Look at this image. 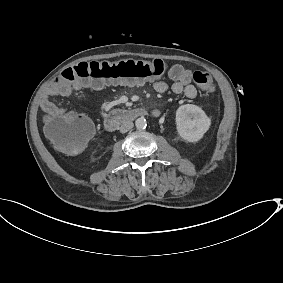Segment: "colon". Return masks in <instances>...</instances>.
Wrapping results in <instances>:
<instances>
[{
  "label": "colon",
  "instance_id": "colon-1",
  "mask_svg": "<svg viewBox=\"0 0 283 283\" xmlns=\"http://www.w3.org/2000/svg\"><path fill=\"white\" fill-rule=\"evenodd\" d=\"M166 70L167 64L159 59L84 62L65 69L56 81L99 89L110 83L140 84L162 76ZM193 80L206 93H212L215 89L213 77L209 73L197 71L193 74ZM45 130L59 150L78 153L91 138L93 125L86 116L68 112L62 116H47Z\"/></svg>",
  "mask_w": 283,
  "mask_h": 283
}]
</instances>
